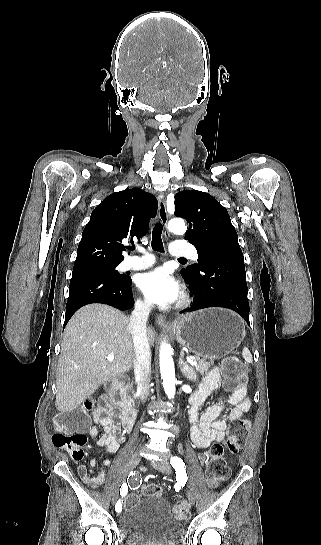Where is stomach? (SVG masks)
Returning <instances> with one entry per match:
<instances>
[{"mask_svg":"<svg viewBox=\"0 0 321 545\" xmlns=\"http://www.w3.org/2000/svg\"><path fill=\"white\" fill-rule=\"evenodd\" d=\"M176 341L195 357L222 359L239 347L245 337V325L229 309H202L184 315L174 325Z\"/></svg>","mask_w":321,"mask_h":545,"instance_id":"stomach-1","label":"stomach"}]
</instances>
